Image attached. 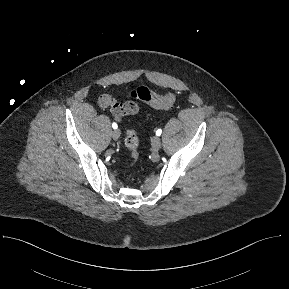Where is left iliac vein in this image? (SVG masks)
I'll return each mask as SVG.
<instances>
[{"mask_svg":"<svg viewBox=\"0 0 289 289\" xmlns=\"http://www.w3.org/2000/svg\"><path fill=\"white\" fill-rule=\"evenodd\" d=\"M152 148L157 151L161 148V139L158 136H154L151 140Z\"/></svg>","mask_w":289,"mask_h":289,"instance_id":"obj_1","label":"left iliac vein"}]
</instances>
